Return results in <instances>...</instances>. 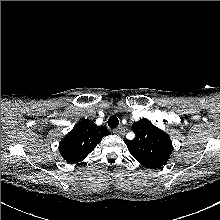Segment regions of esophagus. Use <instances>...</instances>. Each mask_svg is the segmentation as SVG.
<instances>
[{
    "label": "esophagus",
    "instance_id": "34e87169",
    "mask_svg": "<svg viewBox=\"0 0 220 220\" xmlns=\"http://www.w3.org/2000/svg\"><path fill=\"white\" fill-rule=\"evenodd\" d=\"M113 133L116 135L122 136L125 134V129H124V127H119V128L114 129Z\"/></svg>",
    "mask_w": 220,
    "mask_h": 220
}]
</instances>
